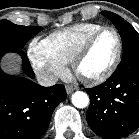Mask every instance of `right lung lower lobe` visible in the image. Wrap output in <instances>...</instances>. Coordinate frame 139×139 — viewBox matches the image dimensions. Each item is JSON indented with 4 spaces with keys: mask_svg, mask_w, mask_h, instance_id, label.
Masks as SVG:
<instances>
[{
    "mask_svg": "<svg viewBox=\"0 0 139 139\" xmlns=\"http://www.w3.org/2000/svg\"><path fill=\"white\" fill-rule=\"evenodd\" d=\"M9 52L21 56L26 76H13L0 69V139H39L48 129L55 107L66 99L65 87H43L35 78L22 48L0 46V59Z\"/></svg>",
    "mask_w": 139,
    "mask_h": 139,
    "instance_id": "1",
    "label": "right lung lower lobe"
}]
</instances>
